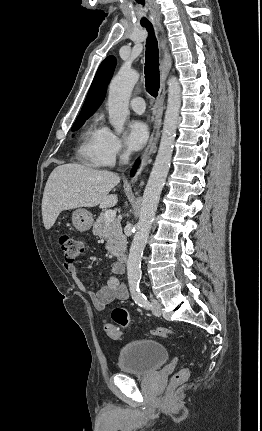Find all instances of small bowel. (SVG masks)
Returning a JSON list of instances; mask_svg holds the SVG:
<instances>
[{
	"instance_id": "small-bowel-1",
	"label": "small bowel",
	"mask_w": 262,
	"mask_h": 431,
	"mask_svg": "<svg viewBox=\"0 0 262 431\" xmlns=\"http://www.w3.org/2000/svg\"><path fill=\"white\" fill-rule=\"evenodd\" d=\"M66 271L71 275L75 285L81 292L90 295L94 307L97 310H104L109 304L115 301L126 300L129 292L125 285L119 284L116 277H112L104 282L97 292L92 293L90 289L84 285L78 276L77 269L73 264H65ZM112 271L115 275H120L124 272V266L119 262L112 264Z\"/></svg>"
}]
</instances>
